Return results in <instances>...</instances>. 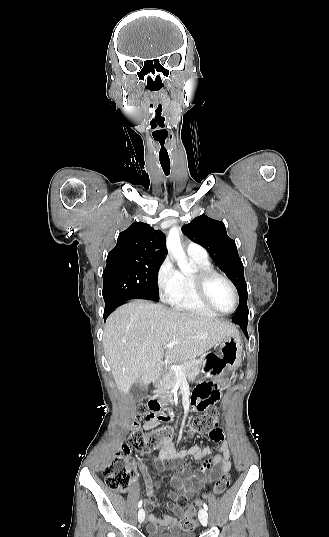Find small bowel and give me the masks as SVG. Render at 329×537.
I'll return each instance as SVG.
<instances>
[{
	"label": "small bowel",
	"instance_id": "obj_1",
	"mask_svg": "<svg viewBox=\"0 0 329 537\" xmlns=\"http://www.w3.org/2000/svg\"><path fill=\"white\" fill-rule=\"evenodd\" d=\"M218 389L219 384L215 383L211 377L206 378L205 381H197L191 391L192 396L182 405L183 410L193 412L207 411L209 405L218 404L219 397L224 398L226 396L224 391L219 392ZM173 408L172 412H176V410L181 408V405L175 403ZM161 412H164V409H161ZM172 412L171 409H167V412L163 413V415H157V422H175V413ZM155 425V422H147L145 428L151 429ZM209 438L214 442L221 443L214 448L195 445L187 450H176L171 441H165L162 444L158 457L162 469L168 466L167 463L169 461L183 459L187 456L193 458L195 461H203V465L198 472L186 464L176 465L179 471L170 478V484L175 490L169 493L171 502L167 503V508L173 515L164 514L159 518L152 512H149L147 515L149 533L165 530H183L184 526L179 517L183 513L182 507L186 505L187 500L191 499L200 488L216 479L220 473H226L230 470L232 464L230 448L222 431L219 430L218 435L216 430H211L209 432ZM214 452H218V454H214ZM145 481L146 495L148 498L145 500L144 505L148 511H152L155 507L156 483L148 477H146Z\"/></svg>",
	"mask_w": 329,
	"mask_h": 537
}]
</instances>
